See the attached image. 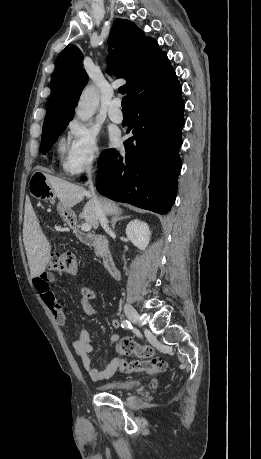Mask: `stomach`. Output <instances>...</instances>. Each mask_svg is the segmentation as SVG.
Masks as SVG:
<instances>
[{"label":"stomach","mask_w":261,"mask_h":459,"mask_svg":"<svg viewBox=\"0 0 261 459\" xmlns=\"http://www.w3.org/2000/svg\"><path fill=\"white\" fill-rule=\"evenodd\" d=\"M28 189L31 196L39 200H50L55 196L54 191L47 181L45 174L40 171L33 173L29 181ZM67 213V211L62 210L61 215L63 218H67Z\"/></svg>","instance_id":"obj_1"}]
</instances>
